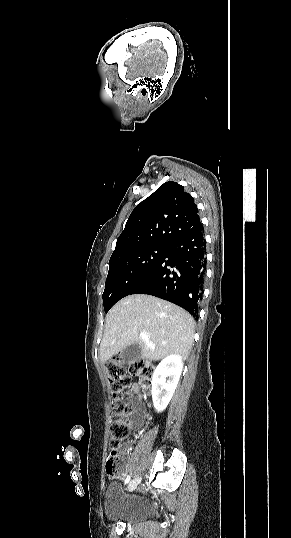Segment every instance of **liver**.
<instances>
[{
    "instance_id": "1",
    "label": "liver",
    "mask_w": 291,
    "mask_h": 538,
    "mask_svg": "<svg viewBox=\"0 0 291 538\" xmlns=\"http://www.w3.org/2000/svg\"><path fill=\"white\" fill-rule=\"evenodd\" d=\"M194 319L182 308L151 295L134 294L115 304L106 315L100 344L103 363L138 343L142 358L160 360L170 354L189 356L194 340ZM148 335V342L140 333Z\"/></svg>"
}]
</instances>
